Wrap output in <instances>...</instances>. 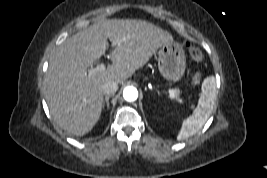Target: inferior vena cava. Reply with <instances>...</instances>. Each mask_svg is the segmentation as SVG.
<instances>
[{
	"instance_id": "602c4592",
	"label": "inferior vena cava",
	"mask_w": 267,
	"mask_h": 178,
	"mask_svg": "<svg viewBox=\"0 0 267 178\" xmlns=\"http://www.w3.org/2000/svg\"><path fill=\"white\" fill-rule=\"evenodd\" d=\"M118 89V84L116 81H107L102 86V92L107 95H113Z\"/></svg>"
}]
</instances>
